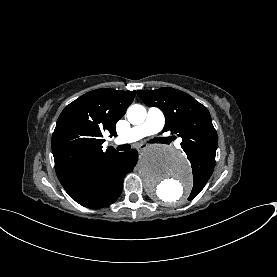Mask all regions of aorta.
Returning a JSON list of instances; mask_svg holds the SVG:
<instances>
[{"label": "aorta", "mask_w": 277, "mask_h": 277, "mask_svg": "<svg viewBox=\"0 0 277 277\" xmlns=\"http://www.w3.org/2000/svg\"><path fill=\"white\" fill-rule=\"evenodd\" d=\"M127 118L131 124L139 125L146 119V109L134 104L128 108ZM138 174L152 198L170 204L182 201L192 187L188 160L166 146L147 148L138 163Z\"/></svg>", "instance_id": "762f6f07"}]
</instances>
